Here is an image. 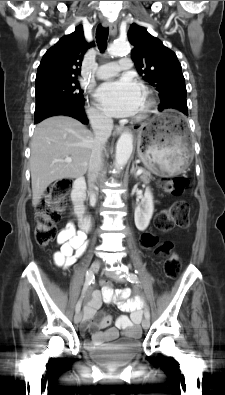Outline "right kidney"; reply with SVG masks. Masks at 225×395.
Instances as JSON below:
<instances>
[{
	"label": "right kidney",
	"mask_w": 225,
	"mask_h": 395,
	"mask_svg": "<svg viewBox=\"0 0 225 395\" xmlns=\"http://www.w3.org/2000/svg\"><path fill=\"white\" fill-rule=\"evenodd\" d=\"M81 209H82V205L81 204H78V205L75 206V211H76L77 214L81 213L80 212Z\"/></svg>",
	"instance_id": "ca27d5eb"
}]
</instances>
